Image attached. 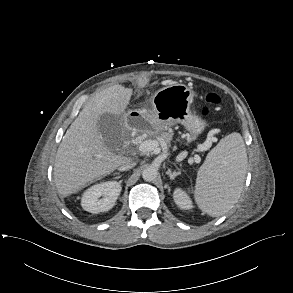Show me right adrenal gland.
<instances>
[{"label":"right adrenal gland","instance_id":"1","mask_svg":"<svg viewBox=\"0 0 293 293\" xmlns=\"http://www.w3.org/2000/svg\"><path fill=\"white\" fill-rule=\"evenodd\" d=\"M116 175H120V173H116Z\"/></svg>","mask_w":293,"mask_h":293}]
</instances>
